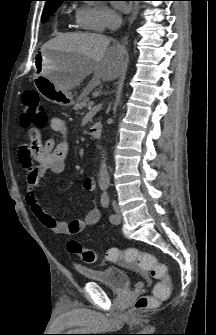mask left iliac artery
<instances>
[{"mask_svg": "<svg viewBox=\"0 0 216 335\" xmlns=\"http://www.w3.org/2000/svg\"><path fill=\"white\" fill-rule=\"evenodd\" d=\"M109 203H110V200H109V196L107 194V192H104L101 196V205L104 207V208H108L109 207ZM117 217L115 214L111 213L109 215V220L110 222L114 223L116 221Z\"/></svg>", "mask_w": 216, "mask_h": 335, "instance_id": "44dca946", "label": "left iliac artery"}]
</instances>
